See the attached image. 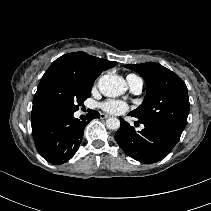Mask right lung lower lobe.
I'll list each match as a JSON object with an SVG mask.
<instances>
[{"label":"right lung lower lobe","instance_id":"right-lung-lower-lobe-1","mask_svg":"<svg viewBox=\"0 0 211 211\" xmlns=\"http://www.w3.org/2000/svg\"><path fill=\"white\" fill-rule=\"evenodd\" d=\"M100 118L97 111H90L87 120L74 118L73 113L50 115L31 121L36 149L48 162L63 164L74 156L82 141L87 121Z\"/></svg>","mask_w":211,"mask_h":211}]
</instances>
